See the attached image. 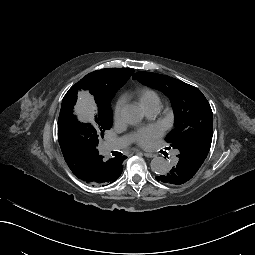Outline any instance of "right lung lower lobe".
<instances>
[{
	"label": "right lung lower lobe",
	"instance_id": "98d812e1",
	"mask_svg": "<svg viewBox=\"0 0 255 255\" xmlns=\"http://www.w3.org/2000/svg\"><path fill=\"white\" fill-rule=\"evenodd\" d=\"M90 178H91L92 180H97V179L99 178V173H98L97 171H92V172L90 173Z\"/></svg>",
	"mask_w": 255,
	"mask_h": 255
}]
</instances>
